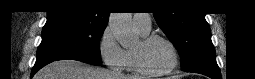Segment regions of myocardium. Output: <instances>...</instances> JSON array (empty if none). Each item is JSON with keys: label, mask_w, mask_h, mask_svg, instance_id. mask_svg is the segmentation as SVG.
<instances>
[{"label": "myocardium", "mask_w": 255, "mask_h": 79, "mask_svg": "<svg viewBox=\"0 0 255 79\" xmlns=\"http://www.w3.org/2000/svg\"><path fill=\"white\" fill-rule=\"evenodd\" d=\"M156 39H160V40L164 41L169 46V48L171 50V54H172L171 63L164 70L151 71L148 68H146V66L144 65L140 51L137 49H133V58H134V64H135L136 71L142 75L162 76V75L171 73L178 66L179 51H178L176 45L174 44V42L172 40H170L168 37H166L165 35L158 34V33L147 34L146 36H144L141 39L140 42H141L142 46H146Z\"/></svg>", "instance_id": "myocardium-1"}]
</instances>
